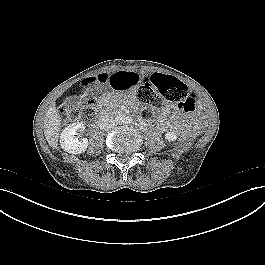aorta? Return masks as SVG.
Here are the masks:
<instances>
[{"label": "aorta", "mask_w": 265, "mask_h": 265, "mask_svg": "<svg viewBox=\"0 0 265 265\" xmlns=\"http://www.w3.org/2000/svg\"><path fill=\"white\" fill-rule=\"evenodd\" d=\"M115 119H116V122H117V123H122V122L124 121L123 116H120V115H119V116H116Z\"/></svg>", "instance_id": "obj_1"}]
</instances>
